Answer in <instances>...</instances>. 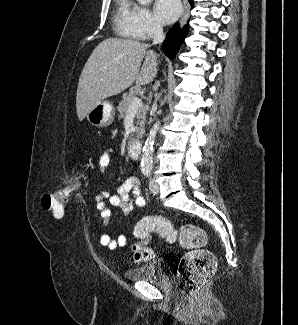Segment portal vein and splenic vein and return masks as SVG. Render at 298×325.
<instances>
[{"label": "portal vein and splenic vein", "mask_w": 298, "mask_h": 325, "mask_svg": "<svg viewBox=\"0 0 298 325\" xmlns=\"http://www.w3.org/2000/svg\"><path fill=\"white\" fill-rule=\"evenodd\" d=\"M139 106H142V98L135 96V98L131 100V104L128 106L127 114H130V112H137Z\"/></svg>", "instance_id": "portal-vein-and-splenic-vein-1"}]
</instances>
